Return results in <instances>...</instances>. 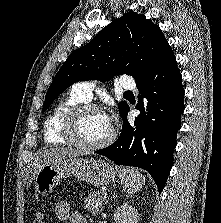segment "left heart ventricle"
<instances>
[{"label":"left heart ventricle","mask_w":221,"mask_h":223,"mask_svg":"<svg viewBox=\"0 0 221 223\" xmlns=\"http://www.w3.org/2000/svg\"><path fill=\"white\" fill-rule=\"evenodd\" d=\"M111 130V125L104 113L88 111L84 113L76 126V138L86 144H95L105 139Z\"/></svg>","instance_id":"left-heart-ventricle-1"}]
</instances>
